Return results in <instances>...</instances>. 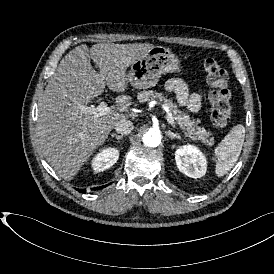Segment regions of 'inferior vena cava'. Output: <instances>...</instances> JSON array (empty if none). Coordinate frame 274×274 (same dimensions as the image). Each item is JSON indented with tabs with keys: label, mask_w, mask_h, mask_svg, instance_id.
<instances>
[{
	"label": "inferior vena cava",
	"mask_w": 274,
	"mask_h": 274,
	"mask_svg": "<svg viewBox=\"0 0 274 274\" xmlns=\"http://www.w3.org/2000/svg\"><path fill=\"white\" fill-rule=\"evenodd\" d=\"M133 127V123L130 120H122L115 125V131L121 135H126L133 130Z\"/></svg>",
	"instance_id": "1"
}]
</instances>
